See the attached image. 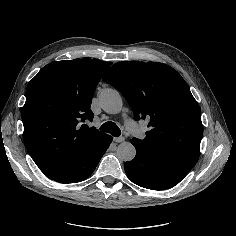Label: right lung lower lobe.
Listing matches in <instances>:
<instances>
[{"label": "right lung lower lobe", "instance_id": "obj_1", "mask_svg": "<svg viewBox=\"0 0 236 236\" xmlns=\"http://www.w3.org/2000/svg\"><path fill=\"white\" fill-rule=\"evenodd\" d=\"M111 141L112 137L106 135L96 144L83 149L52 180L60 183H76L85 180L94 171Z\"/></svg>", "mask_w": 236, "mask_h": 236}]
</instances>
